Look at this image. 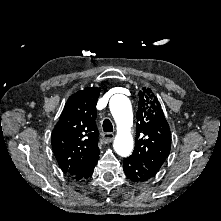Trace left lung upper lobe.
<instances>
[{
	"label": "left lung upper lobe",
	"mask_w": 221,
	"mask_h": 221,
	"mask_svg": "<svg viewBox=\"0 0 221 221\" xmlns=\"http://www.w3.org/2000/svg\"><path fill=\"white\" fill-rule=\"evenodd\" d=\"M171 148L169 124L157 97L149 88L139 93L135 149L130 156L157 173Z\"/></svg>",
	"instance_id": "1"
}]
</instances>
